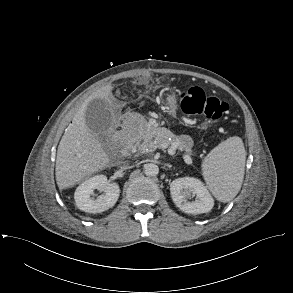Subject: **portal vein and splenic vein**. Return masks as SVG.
<instances>
[{
  "label": "portal vein and splenic vein",
  "instance_id": "1",
  "mask_svg": "<svg viewBox=\"0 0 293 293\" xmlns=\"http://www.w3.org/2000/svg\"><path fill=\"white\" fill-rule=\"evenodd\" d=\"M167 146H168V145H167L166 143L161 144V147H162V148H167Z\"/></svg>",
  "mask_w": 293,
  "mask_h": 293
}]
</instances>
